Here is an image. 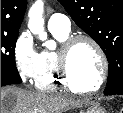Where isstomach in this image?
Segmentation results:
<instances>
[{
	"instance_id": "obj_1",
	"label": "stomach",
	"mask_w": 123,
	"mask_h": 113,
	"mask_svg": "<svg viewBox=\"0 0 123 113\" xmlns=\"http://www.w3.org/2000/svg\"><path fill=\"white\" fill-rule=\"evenodd\" d=\"M84 113H105V109L97 102H92Z\"/></svg>"
}]
</instances>
